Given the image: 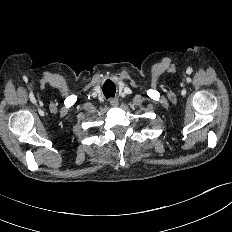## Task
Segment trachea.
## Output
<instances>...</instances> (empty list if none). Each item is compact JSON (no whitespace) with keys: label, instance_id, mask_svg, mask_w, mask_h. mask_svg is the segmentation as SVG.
<instances>
[{"label":"trachea","instance_id":"obj_1","mask_svg":"<svg viewBox=\"0 0 232 232\" xmlns=\"http://www.w3.org/2000/svg\"><path fill=\"white\" fill-rule=\"evenodd\" d=\"M115 91H116L115 84L112 81L107 80L103 85V93L105 97L106 98L114 97Z\"/></svg>","mask_w":232,"mask_h":232}]
</instances>
